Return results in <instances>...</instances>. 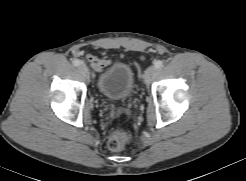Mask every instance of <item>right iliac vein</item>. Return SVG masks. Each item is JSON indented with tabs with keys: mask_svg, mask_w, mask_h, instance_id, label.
I'll return each instance as SVG.
<instances>
[{
	"mask_svg": "<svg viewBox=\"0 0 246 181\" xmlns=\"http://www.w3.org/2000/svg\"><path fill=\"white\" fill-rule=\"evenodd\" d=\"M78 69H79V71H80L83 75H85V76H88V75H89V70H88V68H87V66H86L85 64L79 65Z\"/></svg>",
	"mask_w": 246,
	"mask_h": 181,
	"instance_id": "right-iliac-vein-1",
	"label": "right iliac vein"
}]
</instances>
